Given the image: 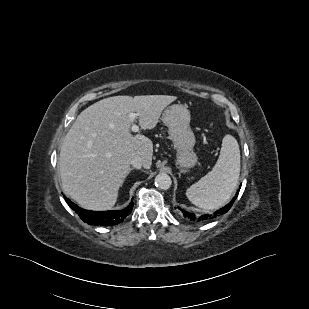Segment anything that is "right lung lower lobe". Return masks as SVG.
Returning <instances> with one entry per match:
<instances>
[{"instance_id":"right-lung-lower-lobe-1","label":"right lung lower lobe","mask_w":309,"mask_h":309,"mask_svg":"<svg viewBox=\"0 0 309 309\" xmlns=\"http://www.w3.org/2000/svg\"><path fill=\"white\" fill-rule=\"evenodd\" d=\"M68 205L89 225L113 226L125 219L133 209V202L122 210L118 211H90L78 207L64 196Z\"/></svg>"}]
</instances>
